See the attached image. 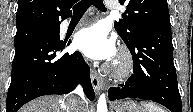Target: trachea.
Here are the masks:
<instances>
[{
  "label": "trachea",
  "instance_id": "trachea-1",
  "mask_svg": "<svg viewBox=\"0 0 193 112\" xmlns=\"http://www.w3.org/2000/svg\"><path fill=\"white\" fill-rule=\"evenodd\" d=\"M91 5L97 7L101 11L106 12L105 5L102 0H81L77 5L73 7L74 14L84 13Z\"/></svg>",
  "mask_w": 193,
  "mask_h": 112
}]
</instances>
